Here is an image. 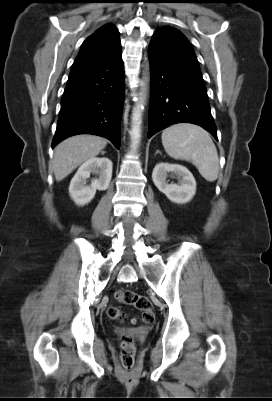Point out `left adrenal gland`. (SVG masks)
Masks as SVG:
<instances>
[{
  "label": "left adrenal gland",
  "mask_w": 272,
  "mask_h": 401,
  "mask_svg": "<svg viewBox=\"0 0 272 401\" xmlns=\"http://www.w3.org/2000/svg\"><path fill=\"white\" fill-rule=\"evenodd\" d=\"M156 154H161L162 155V153L159 150L156 151L155 155Z\"/></svg>",
  "instance_id": "left-adrenal-gland-1"
}]
</instances>
